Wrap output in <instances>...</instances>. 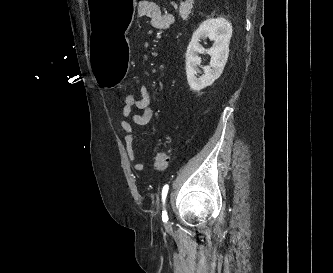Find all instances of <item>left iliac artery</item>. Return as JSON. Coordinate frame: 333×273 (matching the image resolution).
I'll list each match as a JSON object with an SVG mask.
<instances>
[{
  "label": "left iliac artery",
  "instance_id": "44dca946",
  "mask_svg": "<svg viewBox=\"0 0 333 273\" xmlns=\"http://www.w3.org/2000/svg\"><path fill=\"white\" fill-rule=\"evenodd\" d=\"M168 190H169V185L168 184L164 185L163 188H162V202H163V205H165V200H166V197H167V194H168ZM162 220H163V222L168 221V216H167V212H166L165 209L162 211Z\"/></svg>",
  "mask_w": 333,
  "mask_h": 273
}]
</instances>
